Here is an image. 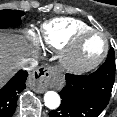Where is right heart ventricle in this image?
I'll use <instances>...</instances> for the list:
<instances>
[{
	"label": "right heart ventricle",
	"mask_w": 117,
	"mask_h": 117,
	"mask_svg": "<svg viewBox=\"0 0 117 117\" xmlns=\"http://www.w3.org/2000/svg\"><path fill=\"white\" fill-rule=\"evenodd\" d=\"M89 29L88 24L75 18H55L41 26L37 39L46 47L61 49L74 34Z\"/></svg>",
	"instance_id": "e07e8e85"
}]
</instances>
